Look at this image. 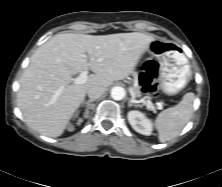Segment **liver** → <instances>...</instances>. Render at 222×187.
Masks as SVG:
<instances>
[{"mask_svg":"<svg viewBox=\"0 0 222 187\" xmlns=\"http://www.w3.org/2000/svg\"><path fill=\"white\" fill-rule=\"evenodd\" d=\"M154 38L138 32L53 36L34 52L20 79L17 103L26 124L48 137L62 135L87 90L106 89L131 74ZM87 70L93 74L86 83L71 84L73 74Z\"/></svg>","mask_w":222,"mask_h":187,"instance_id":"1","label":"liver"}]
</instances>
